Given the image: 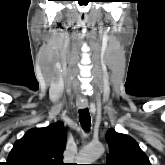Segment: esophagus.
<instances>
[{"label": "esophagus", "instance_id": "34e87169", "mask_svg": "<svg viewBox=\"0 0 165 165\" xmlns=\"http://www.w3.org/2000/svg\"><path fill=\"white\" fill-rule=\"evenodd\" d=\"M76 104H77V107H78L79 109H85V108H87V106H88V103H87V101H85V100H83V101L78 100Z\"/></svg>", "mask_w": 165, "mask_h": 165}]
</instances>
